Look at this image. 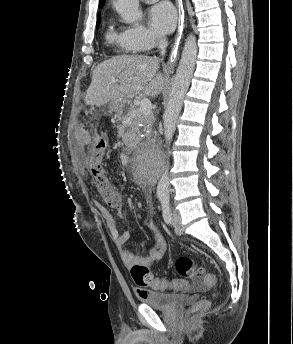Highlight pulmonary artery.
<instances>
[{"label":"pulmonary artery","instance_id":"obj_1","mask_svg":"<svg viewBox=\"0 0 293 344\" xmlns=\"http://www.w3.org/2000/svg\"><path fill=\"white\" fill-rule=\"evenodd\" d=\"M142 1H144V2H146V3H153V2H156V1H158V0H142Z\"/></svg>","mask_w":293,"mask_h":344}]
</instances>
